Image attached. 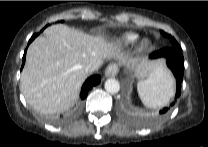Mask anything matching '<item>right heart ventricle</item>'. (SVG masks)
Returning a JSON list of instances; mask_svg holds the SVG:
<instances>
[{
  "instance_id": "right-heart-ventricle-1",
  "label": "right heart ventricle",
  "mask_w": 208,
  "mask_h": 147,
  "mask_svg": "<svg viewBox=\"0 0 208 147\" xmlns=\"http://www.w3.org/2000/svg\"><path fill=\"white\" fill-rule=\"evenodd\" d=\"M139 38V35L135 32H126L117 38V42L123 46L133 45Z\"/></svg>"
}]
</instances>
